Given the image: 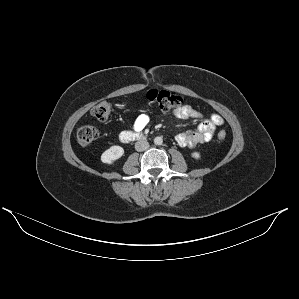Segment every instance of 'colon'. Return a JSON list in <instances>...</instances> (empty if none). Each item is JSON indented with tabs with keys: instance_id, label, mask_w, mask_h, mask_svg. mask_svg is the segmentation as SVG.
<instances>
[{
	"instance_id": "colon-1",
	"label": "colon",
	"mask_w": 299,
	"mask_h": 299,
	"mask_svg": "<svg viewBox=\"0 0 299 299\" xmlns=\"http://www.w3.org/2000/svg\"><path fill=\"white\" fill-rule=\"evenodd\" d=\"M145 100L152 107L162 111L173 110L180 107L183 103V98L178 94L160 89L147 91ZM111 109V103L108 100H102L93 107L91 113L97 120L105 121L110 117ZM98 137L99 131L92 125L80 126L76 131V139L82 146H88L94 143ZM225 138L226 132L220 131L218 133V139L224 140Z\"/></svg>"
}]
</instances>
